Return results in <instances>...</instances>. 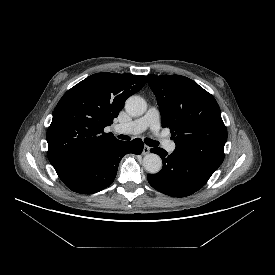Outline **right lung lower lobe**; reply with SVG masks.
<instances>
[{
  "label": "right lung lower lobe",
  "mask_w": 275,
  "mask_h": 275,
  "mask_svg": "<svg viewBox=\"0 0 275 275\" xmlns=\"http://www.w3.org/2000/svg\"><path fill=\"white\" fill-rule=\"evenodd\" d=\"M143 147L141 139L121 141L100 152L56 167L55 170L72 191L81 194L96 193L114 181L119 162L126 153L141 154Z\"/></svg>",
  "instance_id": "1"
}]
</instances>
